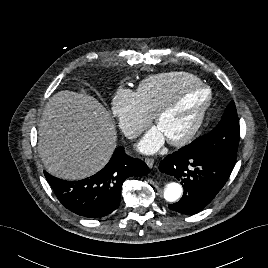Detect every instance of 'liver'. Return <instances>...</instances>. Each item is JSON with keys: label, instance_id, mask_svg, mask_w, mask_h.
Masks as SVG:
<instances>
[{"label": "liver", "instance_id": "6515ba94", "mask_svg": "<svg viewBox=\"0 0 268 268\" xmlns=\"http://www.w3.org/2000/svg\"><path fill=\"white\" fill-rule=\"evenodd\" d=\"M38 152L47 172L79 180L110 160L117 131L107 109L94 97L60 91L49 98L38 131Z\"/></svg>", "mask_w": 268, "mask_h": 268}]
</instances>
